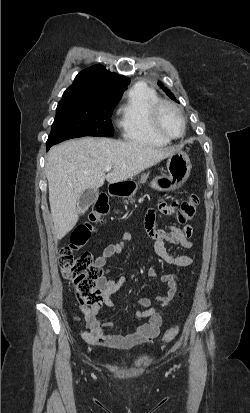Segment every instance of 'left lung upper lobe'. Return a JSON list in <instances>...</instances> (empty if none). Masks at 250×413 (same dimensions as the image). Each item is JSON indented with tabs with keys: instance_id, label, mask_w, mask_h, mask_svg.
Returning a JSON list of instances; mask_svg holds the SVG:
<instances>
[{
	"instance_id": "obj_1",
	"label": "left lung upper lobe",
	"mask_w": 250,
	"mask_h": 413,
	"mask_svg": "<svg viewBox=\"0 0 250 413\" xmlns=\"http://www.w3.org/2000/svg\"><path fill=\"white\" fill-rule=\"evenodd\" d=\"M158 84H159V85H162L161 82H159ZM166 93L170 96L171 99H173V100H175L176 102H178V101L176 100V98L174 97V95H173L172 93H170L169 90H166Z\"/></svg>"
}]
</instances>
